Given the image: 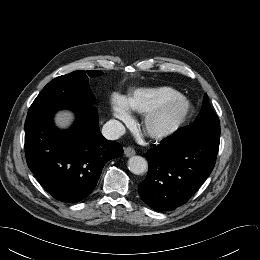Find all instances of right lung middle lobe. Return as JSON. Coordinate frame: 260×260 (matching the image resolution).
Here are the masks:
<instances>
[{"instance_id":"obj_1","label":"right lung middle lobe","mask_w":260,"mask_h":260,"mask_svg":"<svg viewBox=\"0 0 260 260\" xmlns=\"http://www.w3.org/2000/svg\"><path fill=\"white\" fill-rule=\"evenodd\" d=\"M100 74L99 71H74L59 76L43 88L33 103L92 104L94 97L89 89L88 76Z\"/></svg>"}]
</instances>
